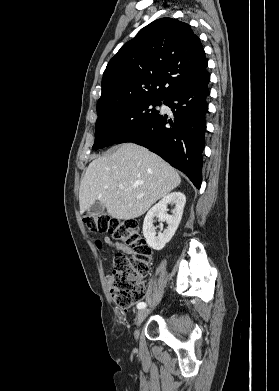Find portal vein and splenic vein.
<instances>
[{"label":"portal vein and splenic vein","instance_id":"1","mask_svg":"<svg viewBox=\"0 0 279 391\" xmlns=\"http://www.w3.org/2000/svg\"><path fill=\"white\" fill-rule=\"evenodd\" d=\"M124 187L123 186H120V189H123Z\"/></svg>","mask_w":279,"mask_h":391}]
</instances>
